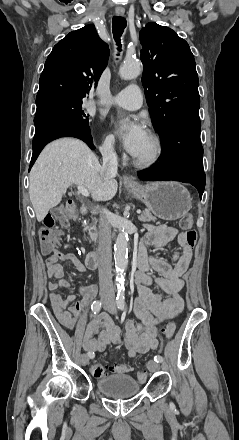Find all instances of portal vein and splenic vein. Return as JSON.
<instances>
[{
    "mask_svg": "<svg viewBox=\"0 0 239 440\" xmlns=\"http://www.w3.org/2000/svg\"><path fill=\"white\" fill-rule=\"evenodd\" d=\"M77 190H78V192H80V194H82V196H86V198H87V196H89V194H90V192H88V190H86V188H83V186H78ZM137 213H138L139 215H141V214H142V213H141V209H138V210H137Z\"/></svg>",
    "mask_w": 239,
    "mask_h": 440,
    "instance_id": "18ae733b",
    "label": "portal vein and splenic vein"
}]
</instances>
